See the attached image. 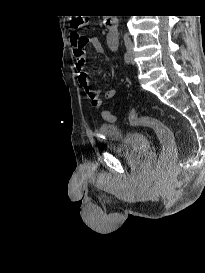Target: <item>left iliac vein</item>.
Instances as JSON below:
<instances>
[{
    "mask_svg": "<svg viewBox=\"0 0 205 273\" xmlns=\"http://www.w3.org/2000/svg\"><path fill=\"white\" fill-rule=\"evenodd\" d=\"M130 58H131V62L134 63V60H133V52L130 51Z\"/></svg>",
    "mask_w": 205,
    "mask_h": 273,
    "instance_id": "1",
    "label": "left iliac vein"
}]
</instances>
